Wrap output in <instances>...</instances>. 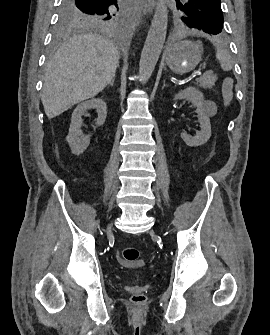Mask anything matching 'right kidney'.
<instances>
[{
	"instance_id": "right-kidney-1",
	"label": "right kidney",
	"mask_w": 270,
	"mask_h": 335,
	"mask_svg": "<svg viewBox=\"0 0 270 335\" xmlns=\"http://www.w3.org/2000/svg\"><path fill=\"white\" fill-rule=\"evenodd\" d=\"M91 108L92 110H96L98 114L96 126H102L106 120L107 106L103 100H100V98H93V100H88V102H81V104H78L72 114L69 134L66 138L72 150V154H76V156L82 154V152H84V150H86L89 146L90 136H83L80 128L83 122L81 118L82 114L87 112V110H91Z\"/></svg>"
}]
</instances>
